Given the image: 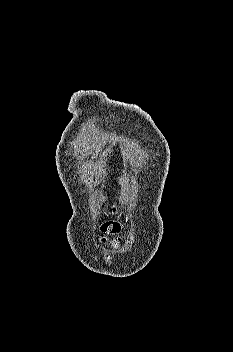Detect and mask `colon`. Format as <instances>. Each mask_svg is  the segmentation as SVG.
Masks as SVG:
<instances>
[{"mask_svg": "<svg viewBox=\"0 0 233 352\" xmlns=\"http://www.w3.org/2000/svg\"><path fill=\"white\" fill-rule=\"evenodd\" d=\"M120 225L116 222H107L102 226V231L107 234H115L119 232Z\"/></svg>", "mask_w": 233, "mask_h": 352, "instance_id": "1", "label": "colon"}]
</instances>
